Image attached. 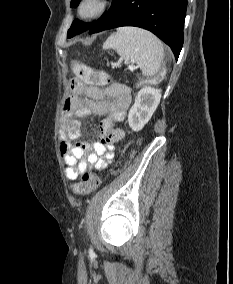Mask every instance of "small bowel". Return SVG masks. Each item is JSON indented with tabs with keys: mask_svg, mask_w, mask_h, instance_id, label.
<instances>
[{
	"mask_svg": "<svg viewBox=\"0 0 233 284\" xmlns=\"http://www.w3.org/2000/svg\"><path fill=\"white\" fill-rule=\"evenodd\" d=\"M130 102V90L125 85L113 84L102 89L78 78L70 80L69 93L63 104L66 123L60 143L67 179H77L89 166L104 169L111 163L115 144L124 137L115 123L123 120ZM91 113L106 116L99 125V141L73 144L71 141L80 136V118Z\"/></svg>",
	"mask_w": 233,
	"mask_h": 284,
	"instance_id": "small-bowel-1",
	"label": "small bowel"
}]
</instances>
